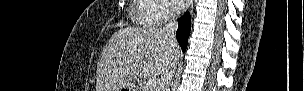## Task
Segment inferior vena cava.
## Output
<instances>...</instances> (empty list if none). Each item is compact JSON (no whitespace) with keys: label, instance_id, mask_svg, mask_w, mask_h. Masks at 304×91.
Returning <instances> with one entry per match:
<instances>
[{"label":"inferior vena cava","instance_id":"1","mask_svg":"<svg viewBox=\"0 0 304 91\" xmlns=\"http://www.w3.org/2000/svg\"><path fill=\"white\" fill-rule=\"evenodd\" d=\"M178 29V23L175 18V14L170 13L169 22L163 27V32H165L168 37L175 43L176 36L175 33ZM176 64L173 63L169 66L161 75V81L159 82L158 91H169V86L171 84L172 77L176 70Z\"/></svg>","mask_w":304,"mask_h":91}]
</instances>
